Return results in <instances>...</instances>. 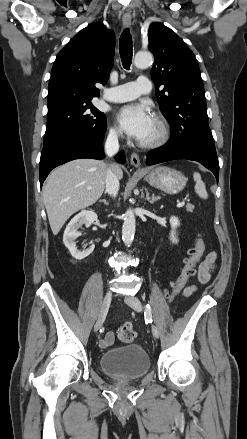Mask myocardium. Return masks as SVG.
<instances>
[{"mask_svg":"<svg viewBox=\"0 0 247 439\" xmlns=\"http://www.w3.org/2000/svg\"><path fill=\"white\" fill-rule=\"evenodd\" d=\"M154 121L158 127L157 136L151 141H141L139 145L146 149H154L165 145L170 139V127L168 122L161 115H155Z\"/></svg>","mask_w":247,"mask_h":439,"instance_id":"1","label":"myocardium"}]
</instances>
